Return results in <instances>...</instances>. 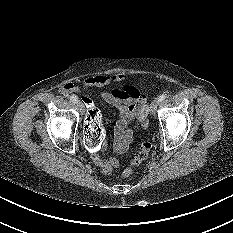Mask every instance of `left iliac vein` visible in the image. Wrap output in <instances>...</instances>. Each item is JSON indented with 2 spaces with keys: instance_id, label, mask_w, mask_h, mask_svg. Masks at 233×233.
<instances>
[{
  "instance_id": "4c4485c4",
  "label": "left iliac vein",
  "mask_w": 233,
  "mask_h": 233,
  "mask_svg": "<svg viewBox=\"0 0 233 233\" xmlns=\"http://www.w3.org/2000/svg\"><path fill=\"white\" fill-rule=\"evenodd\" d=\"M159 105V100L158 98L154 99L151 104H150V112L152 114H155L156 113V110H157V107Z\"/></svg>"
}]
</instances>
